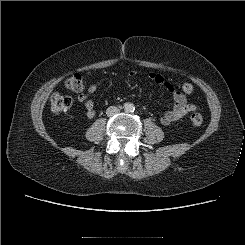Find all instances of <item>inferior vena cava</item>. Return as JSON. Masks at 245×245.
<instances>
[{"instance_id":"602c4592","label":"inferior vena cava","mask_w":245,"mask_h":245,"mask_svg":"<svg viewBox=\"0 0 245 245\" xmlns=\"http://www.w3.org/2000/svg\"><path fill=\"white\" fill-rule=\"evenodd\" d=\"M119 112H120V109L118 107H115V106H110L106 110V114L108 117L117 115Z\"/></svg>"}]
</instances>
